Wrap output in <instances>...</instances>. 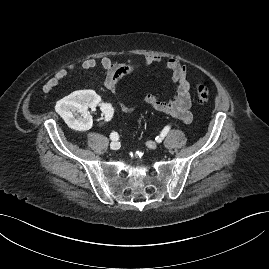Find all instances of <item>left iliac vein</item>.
<instances>
[{
  "instance_id": "4c4485c4",
  "label": "left iliac vein",
  "mask_w": 269,
  "mask_h": 269,
  "mask_svg": "<svg viewBox=\"0 0 269 269\" xmlns=\"http://www.w3.org/2000/svg\"><path fill=\"white\" fill-rule=\"evenodd\" d=\"M147 146H148L149 148H152V149H154V148L157 147L156 143L151 142V141L147 142Z\"/></svg>"
}]
</instances>
